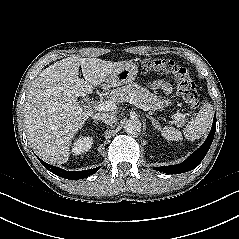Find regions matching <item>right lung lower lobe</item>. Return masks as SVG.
<instances>
[{"mask_svg": "<svg viewBox=\"0 0 239 239\" xmlns=\"http://www.w3.org/2000/svg\"><path fill=\"white\" fill-rule=\"evenodd\" d=\"M39 160L47 170L54 173L55 175H58L65 179H73V180L83 179L85 177H88V176L94 174L101 167L100 166V167H97L94 169H89V170H84V171H66L64 169L49 165L48 163L42 161L41 159H39Z\"/></svg>", "mask_w": 239, "mask_h": 239, "instance_id": "right-lung-lower-lobe-1", "label": "right lung lower lobe"}]
</instances>
